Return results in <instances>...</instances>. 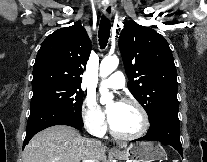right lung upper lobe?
<instances>
[{"label": "right lung upper lobe", "mask_w": 207, "mask_h": 162, "mask_svg": "<svg viewBox=\"0 0 207 162\" xmlns=\"http://www.w3.org/2000/svg\"><path fill=\"white\" fill-rule=\"evenodd\" d=\"M91 41L80 23L56 30L41 44L33 67L32 86L59 84L81 88Z\"/></svg>", "instance_id": "cb5924a9"}]
</instances>
